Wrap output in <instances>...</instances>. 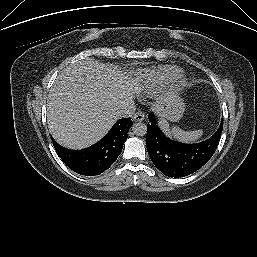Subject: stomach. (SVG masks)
<instances>
[{
  "instance_id": "stomach-1",
  "label": "stomach",
  "mask_w": 257,
  "mask_h": 257,
  "mask_svg": "<svg viewBox=\"0 0 257 257\" xmlns=\"http://www.w3.org/2000/svg\"><path fill=\"white\" fill-rule=\"evenodd\" d=\"M154 110L160 117V122H167V120L177 122L183 116L185 104L183 99L180 98L177 94L166 93L164 101L157 105Z\"/></svg>"
}]
</instances>
